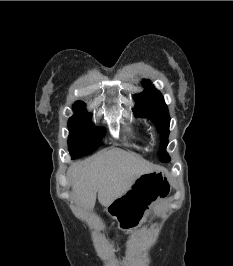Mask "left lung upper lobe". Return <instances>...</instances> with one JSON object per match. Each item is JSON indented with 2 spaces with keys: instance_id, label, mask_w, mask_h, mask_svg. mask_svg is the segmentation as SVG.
Returning <instances> with one entry per match:
<instances>
[{
  "instance_id": "5c2ea615",
  "label": "left lung upper lobe",
  "mask_w": 233,
  "mask_h": 266,
  "mask_svg": "<svg viewBox=\"0 0 233 266\" xmlns=\"http://www.w3.org/2000/svg\"><path fill=\"white\" fill-rule=\"evenodd\" d=\"M143 85L147 86V88L142 93L134 96L136 104L133 111L138 117L149 118L154 122L161 135V150L159 157L162 162H167L170 160L166 153L170 125L167 106L161 93L152 85H149L148 80H143Z\"/></svg>"
}]
</instances>
